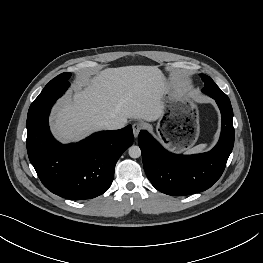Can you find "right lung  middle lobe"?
<instances>
[{
  "label": "right lung middle lobe",
  "mask_w": 263,
  "mask_h": 263,
  "mask_svg": "<svg viewBox=\"0 0 263 263\" xmlns=\"http://www.w3.org/2000/svg\"><path fill=\"white\" fill-rule=\"evenodd\" d=\"M71 73H62L52 79L31 104L28 115L54 103L69 86L68 79Z\"/></svg>",
  "instance_id": "1"
}]
</instances>
